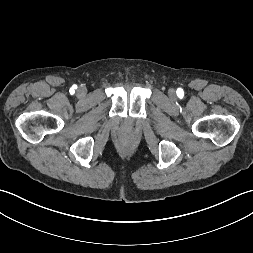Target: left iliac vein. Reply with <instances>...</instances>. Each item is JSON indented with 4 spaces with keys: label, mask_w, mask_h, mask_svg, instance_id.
<instances>
[{
    "label": "left iliac vein",
    "mask_w": 253,
    "mask_h": 253,
    "mask_svg": "<svg viewBox=\"0 0 253 253\" xmlns=\"http://www.w3.org/2000/svg\"><path fill=\"white\" fill-rule=\"evenodd\" d=\"M169 96L171 98H175L176 97V93H175V90L174 89H170L169 92H168Z\"/></svg>",
    "instance_id": "4c4485c4"
}]
</instances>
